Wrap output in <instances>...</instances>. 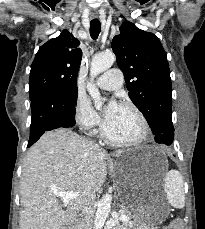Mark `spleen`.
<instances>
[{
    "instance_id": "spleen-1",
    "label": "spleen",
    "mask_w": 205,
    "mask_h": 229,
    "mask_svg": "<svg viewBox=\"0 0 205 229\" xmlns=\"http://www.w3.org/2000/svg\"><path fill=\"white\" fill-rule=\"evenodd\" d=\"M183 177L177 170H170L164 179V190L167 194L169 204L178 209L185 205Z\"/></svg>"
}]
</instances>
